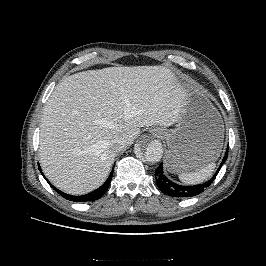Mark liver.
Masks as SVG:
<instances>
[{
    "instance_id": "obj_1",
    "label": "liver",
    "mask_w": 266,
    "mask_h": 266,
    "mask_svg": "<svg viewBox=\"0 0 266 266\" xmlns=\"http://www.w3.org/2000/svg\"><path fill=\"white\" fill-rule=\"evenodd\" d=\"M183 104L177 76L161 65L109 67L68 76L43 109V172L66 193L91 192L110 173L116 155L110 145L114 136H126L128 147L140 128L176 123Z\"/></svg>"
}]
</instances>
